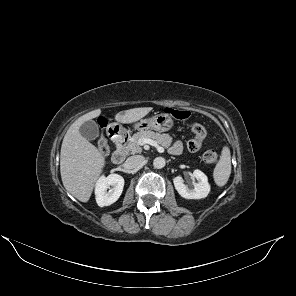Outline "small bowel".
Returning a JSON list of instances; mask_svg holds the SVG:
<instances>
[{"instance_id": "small-bowel-1", "label": "small bowel", "mask_w": 296, "mask_h": 296, "mask_svg": "<svg viewBox=\"0 0 296 296\" xmlns=\"http://www.w3.org/2000/svg\"><path fill=\"white\" fill-rule=\"evenodd\" d=\"M182 149H183L182 143L180 141H177L173 144L170 151L173 154H179V153H181Z\"/></svg>"}]
</instances>
